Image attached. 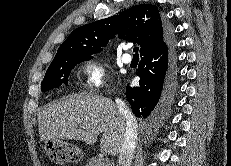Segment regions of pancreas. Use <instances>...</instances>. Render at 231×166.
Returning a JSON list of instances; mask_svg holds the SVG:
<instances>
[{
    "label": "pancreas",
    "mask_w": 231,
    "mask_h": 166,
    "mask_svg": "<svg viewBox=\"0 0 231 166\" xmlns=\"http://www.w3.org/2000/svg\"><path fill=\"white\" fill-rule=\"evenodd\" d=\"M85 166H110L104 163V161L98 157H91L87 160V163Z\"/></svg>",
    "instance_id": "obj_1"
}]
</instances>
